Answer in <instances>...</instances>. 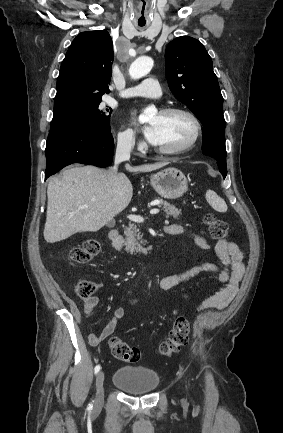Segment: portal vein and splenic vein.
<instances>
[{
	"instance_id": "obj_1",
	"label": "portal vein and splenic vein",
	"mask_w": 283,
	"mask_h": 433,
	"mask_svg": "<svg viewBox=\"0 0 283 433\" xmlns=\"http://www.w3.org/2000/svg\"><path fill=\"white\" fill-rule=\"evenodd\" d=\"M156 212H160L159 208H151L150 214H156ZM127 219L129 221H134V223H143V217H140V214H128Z\"/></svg>"
}]
</instances>
